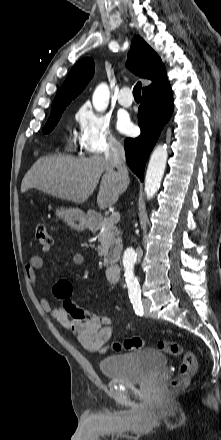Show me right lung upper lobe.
Returning <instances> with one entry per match:
<instances>
[{"label":"right lung upper lobe","instance_id":"1","mask_svg":"<svg viewBox=\"0 0 221 440\" xmlns=\"http://www.w3.org/2000/svg\"><path fill=\"white\" fill-rule=\"evenodd\" d=\"M127 66L139 77L152 80V84L145 87L143 92L155 89L167 82L161 59L139 35L132 39ZM93 74L94 62L91 58L78 61L59 89L53 101L52 109L66 107L72 99L83 91Z\"/></svg>","mask_w":221,"mask_h":440}]
</instances>
